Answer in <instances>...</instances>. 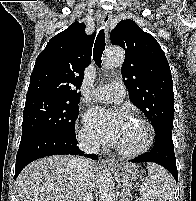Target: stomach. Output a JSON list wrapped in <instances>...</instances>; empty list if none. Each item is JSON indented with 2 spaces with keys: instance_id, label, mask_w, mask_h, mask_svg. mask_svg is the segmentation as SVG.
I'll return each instance as SVG.
<instances>
[{
  "instance_id": "obj_1",
  "label": "stomach",
  "mask_w": 196,
  "mask_h": 201,
  "mask_svg": "<svg viewBox=\"0 0 196 201\" xmlns=\"http://www.w3.org/2000/svg\"><path fill=\"white\" fill-rule=\"evenodd\" d=\"M114 169L119 174L121 180L126 183L133 182L139 177L137 168L132 165H122Z\"/></svg>"
}]
</instances>
